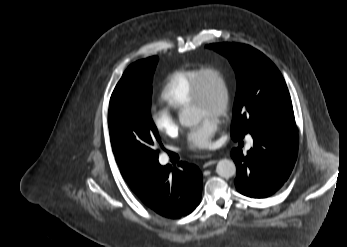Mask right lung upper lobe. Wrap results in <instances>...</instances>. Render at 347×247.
<instances>
[{
  "instance_id": "cb5924a9",
  "label": "right lung upper lobe",
  "mask_w": 347,
  "mask_h": 247,
  "mask_svg": "<svg viewBox=\"0 0 347 247\" xmlns=\"http://www.w3.org/2000/svg\"><path fill=\"white\" fill-rule=\"evenodd\" d=\"M114 152V151H113ZM116 162L120 167L121 174L127 181L132 190H138L142 187L143 180L150 173V169L137 165L115 153Z\"/></svg>"
}]
</instances>
